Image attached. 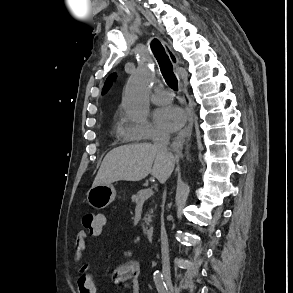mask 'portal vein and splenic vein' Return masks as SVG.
<instances>
[{
  "label": "portal vein and splenic vein",
  "mask_w": 293,
  "mask_h": 293,
  "mask_svg": "<svg viewBox=\"0 0 293 293\" xmlns=\"http://www.w3.org/2000/svg\"><path fill=\"white\" fill-rule=\"evenodd\" d=\"M153 194V191L151 188H148L144 194V196L142 197V200H146L148 199L151 195Z\"/></svg>",
  "instance_id": "obj_1"
}]
</instances>
